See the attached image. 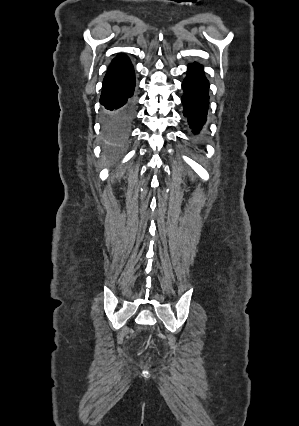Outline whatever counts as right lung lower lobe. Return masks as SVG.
<instances>
[{
  "label": "right lung lower lobe",
  "mask_w": 299,
  "mask_h": 426,
  "mask_svg": "<svg viewBox=\"0 0 299 426\" xmlns=\"http://www.w3.org/2000/svg\"><path fill=\"white\" fill-rule=\"evenodd\" d=\"M135 74L124 54L116 56L104 77L100 103L104 127L110 134L124 136L135 116Z\"/></svg>",
  "instance_id": "1"
}]
</instances>
